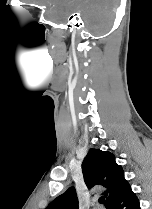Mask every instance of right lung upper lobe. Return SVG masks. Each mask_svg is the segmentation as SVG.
<instances>
[{"label":"right lung upper lobe","mask_w":152,"mask_h":209,"mask_svg":"<svg viewBox=\"0 0 152 209\" xmlns=\"http://www.w3.org/2000/svg\"><path fill=\"white\" fill-rule=\"evenodd\" d=\"M84 181L90 189L96 185L106 188V208L120 196L129 184L124 171L115 162L111 152L90 149L82 163ZM46 209H78V199L74 187L56 197Z\"/></svg>","instance_id":"1"}]
</instances>
